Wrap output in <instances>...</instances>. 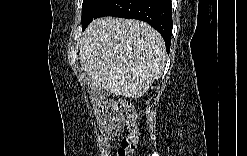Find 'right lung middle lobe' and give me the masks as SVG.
Instances as JSON below:
<instances>
[{
	"label": "right lung middle lobe",
	"mask_w": 247,
	"mask_h": 156,
	"mask_svg": "<svg viewBox=\"0 0 247 156\" xmlns=\"http://www.w3.org/2000/svg\"><path fill=\"white\" fill-rule=\"evenodd\" d=\"M108 0H83L82 4V29L98 15Z\"/></svg>",
	"instance_id": "1"
}]
</instances>
